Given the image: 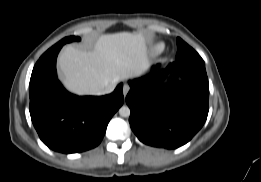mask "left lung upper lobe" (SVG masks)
Wrapping results in <instances>:
<instances>
[{
	"instance_id": "left-lung-upper-lobe-1",
	"label": "left lung upper lobe",
	"mask_w": 261,
	"mask_h": 182,
	"mask_svg": "<svg viewBox=\"0 0 261 182\" xmlns=\"http://www.w3.org/2000/svg\"><path fill=\"white\" fill-rule=\"evenodd\" d=\"M178 52L175 62H204L200 55L185 43L181 38H177Z\"/></svg>"
}]
</instances>
